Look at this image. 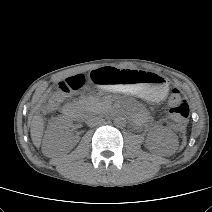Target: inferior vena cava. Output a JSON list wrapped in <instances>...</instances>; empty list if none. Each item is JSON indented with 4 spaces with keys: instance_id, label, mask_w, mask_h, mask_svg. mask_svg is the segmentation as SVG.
<instances>
[{
    "instance_id": "inferior-vena-cava-1",
    "label": "inferior vena cava",
    "mask_w": 212,
    "mask_h": 212,
    "mask_svg": "<svg viewBox=\"0 0 212 212\" xmlns=\"http://www.w3.org/2000/svg\"><path fill=\"white\" fill-rule=\"evenodd\" d=\"M102 121H103V119L101 118V117H91V118H89L88 120H87V125L89 126V127H94V126H96V125H99V124H101L102 123Z\"/></svg>"
}]
</instances>
